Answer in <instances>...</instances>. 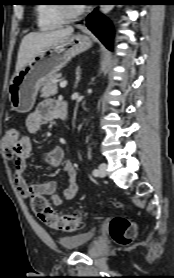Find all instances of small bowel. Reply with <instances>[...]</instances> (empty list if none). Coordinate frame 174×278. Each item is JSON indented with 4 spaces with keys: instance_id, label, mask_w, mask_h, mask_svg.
<instances>
[{
    "instance_id": "c3829d8e",
    "label": "small bowel",
    "mask_w": 174,
    "mask_h": 278,
    "mask_svg": "<svg viewBox=\"0 0 174 278\" xmlns=\"http://www.w3.org/2000/svg\"><path fill=\"white\" fill-rule=\"evenodd\" d=\"M58 102L53 99H45L40 102L25 121L26 129L29 133L35 134L40 131L42 125L50 122L57 116ZM13 156L15 158L14 179L19 194L24 197L32 195L50 196L52 204L61 205L63 200L73 199L78 192L76 182V169L72 162L66 161L64 164V172L68 178V185L61 191L58 190L56 180H49L43 183L30 184L26 179L28 160L32 154V143L28 136H20L12 145ZM63 158L61 148H54L48 156V161L52 165H58Z\"/></svg>"
}]
</instances>
